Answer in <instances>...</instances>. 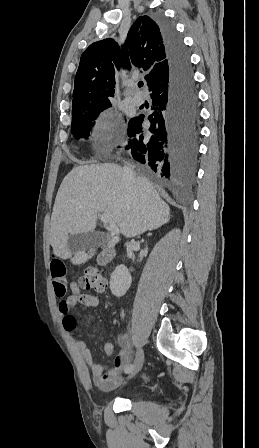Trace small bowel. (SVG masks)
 I'll list each match as a JSON object with an SVG mask.
<instances>
[{"instance_id": "small-bowel-1", "label": "small bowel", "mask_w": 259, "mask_h": 448, "mask_svg": "<svg viewBox=\"0 0 259 448\" xmlns=\"http://www.w3.org/2000/svg\"><path fill=\"white\" fill-rule=\"evenodd\" d=\"M51 278L55 295L63 297L67 291L66 281V266L64 262L56 256H53L50 262ZM70 294L60 301L58 312L62 320L63 327L69 331L74 332L76 329V319L72 315V309L78 304L87 307H97L99 299L93 295L82 293L77 282L69 283ZM119 353L114 360L113 367L97 363L87 344L83 340L76 343V347L84 359L88 367L86 374V381H91L94 385L102 391H111L119 386L122 381V371L128 366L131 359V347L127 336L119 337ZM104 352L107 356H111L114 352V347L111 343H106Z\"/></svg>"}]
</instances>
